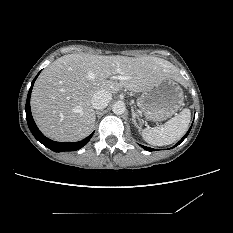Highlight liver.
<instances>
[{
    "mask_svg": "<svg viewBox=\"0 0 233 233\" xmlns=\"http://www.w3.org/2000/svg\"><path fill=\"white\" fill-rule=\"evenodd\" d=\"M116 76L123 79L116 81ZM167 79L179 81V70L158 57L64 55L35 82L32 115L47 137L62 142L79 141L94 128L96 116L91 100L95 92L117 93L123 87L143 92Z\"/></svg>",
    "mask_w": 233,
    "mask_h": 233,
    "instance_id": "liver-1",
    "label": "liver"
}]
</instances>
